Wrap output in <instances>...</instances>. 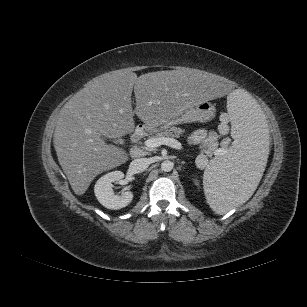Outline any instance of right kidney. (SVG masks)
I'll return each mask as SVG.
<instances>
[{
	"label": "right kidney",
	"mask_w": 307,
	"mask_h": 307,
	"mask_svg": "<svg viewBox=\"0 0 307 307\" xmlns=\"http://www.w3.org/2000/svg\"><path fill=\"white\" fill-rule=\"evenodd\" d=\"M122 171H112L99 178L94 187L97 200L107 209L118 210L129 205L133 199L132 192L125 191L121 195H115L112 189V182L124 178Z\"/></svg>",
	"instance_id": "ca27d5eb"
}]
</instances>
